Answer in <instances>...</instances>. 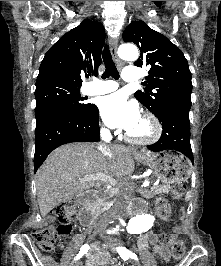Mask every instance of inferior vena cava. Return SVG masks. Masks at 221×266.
<instances>
[{"label": "inferior vena cava", "mask_w": 221, "mask_h": 266, "mask_svg": "<svg viewBox=\"0 0 221 266\" xmlns=\"http://www.w3.org/2000/svg\"><path fill=\"white\" fill-rule=\"evenodd\" d=\"M101 139L108 142L111 140V133L108 129H102L101 131ZM115 147V146H113ZM99 149L101 150V152L103 153V155H105L106 157L108 158H112V154H113V151H112V147H110L109 145H100L99 146ZM120 187H124L125 183L123 180H120V183H119ZM118 192H123V191H118ZM111 214V213H110ZM107 218L104 217V218H101L99 221H98V226H106L107 225Z\"/></svg>", "instance_id": "inferior-vena-cava-1"}]
</instances>
